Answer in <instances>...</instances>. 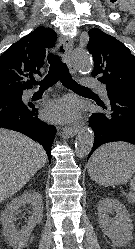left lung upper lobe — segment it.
I'll return each instance as SVG.
<instances>
[{
	"label": "left lung upper lobe",
	"mask_w": 135,
	"mask_h": 249,
	"mask_svg": "<svg viewBox=\"0 0 135 249\" xmlns=\"http://www.w3.org/2000/svg\"><path fill=\"white\" fill-rule=\"evenodd\" d=\"M88 51L93 55L92 76L106 85L108 94L135 98V57L115 37L100 29L88 31Z\"/></svg>",
	"instance_id": "5c2ea615"
}]
</instances>
